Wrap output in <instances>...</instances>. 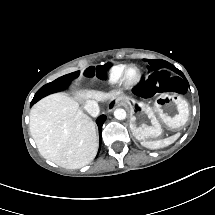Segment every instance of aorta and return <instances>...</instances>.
<instances>
[{"label": "aorta", "instance_id": "aorta-1", "mask_svg": "<svg viewBox=\"0 0 215 215\" xmlns=\"http://www.w3.org/2000/svg\"><path fill=\"white\" fill-rule=\"evenodd\" d=\"M114 116L118 120H123L126 118V111L124 109H121V108L116 109L114 111Z\"/></svg>", "mask_w": 215, "mask_h": 215}]
</instances>
